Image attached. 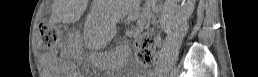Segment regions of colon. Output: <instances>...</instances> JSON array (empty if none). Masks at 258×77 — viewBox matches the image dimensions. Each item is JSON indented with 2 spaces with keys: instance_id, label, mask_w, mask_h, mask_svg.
Instances as JSON below:
<instances>
[{
  "instance_id": "1",
  "label": "colon",
  "mask_w": 258,
  "mask_h": 77,
  "mask_svg": "<svg viewBox=\"0 0 258 77\" xmlns=\"http://www.w3.org/2000/svg\"><path fill=\"white\" fill-rule=\"evenodd\" d=\"M39 36L42 43L52 45L61 35V30L49 24H40ZM156 38L150 32L141 34L136 42V58L143 66H151L155 60Z\"/></svg>"
}]
</instances>
